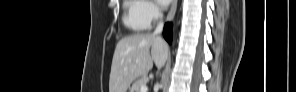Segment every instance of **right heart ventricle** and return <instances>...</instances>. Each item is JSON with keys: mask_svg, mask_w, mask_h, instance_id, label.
<instances>
[{"mask_svg": "<svg viewBox=\"0 0 296 92\" xmlns=\"http://www.w3.org/2000/svg\"><path fill=\"white\" fill-rule=\"evenodd\" d=\"M139 8V1H125V15L123 18V22L128 29L134 32L143 31L148 26L141 19Z\"/></svg>", "mask_w": 296, "mask_h": 92, "instance_id": "1", "label": "right heart ventricle"}]
</instances>
